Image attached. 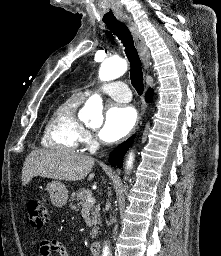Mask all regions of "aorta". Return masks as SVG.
<instances>
[{
    "instance_id": "aorta-1",
    "label": "aorta",
    "mask_w": 221,
    "mask_h": 256,
    "mask_svg": "<svg viewBox=\"0 0 221 256\" xmlns=\"http://www.w3.org/2000/svg\"><path fill=\"white\" fill-rule=\"evenodd\" d=\"M128 65L124 59H107L99 69V79L101 81H111L122 76L127 71ZM103 103L99 95L95 94L89 97L79 115L88 119L102 118ZM134 156L130 153L127 168L133 164ZM107 255V247L103 250V256Z\"/></svg>"
}]
</instances>
